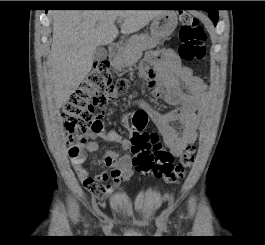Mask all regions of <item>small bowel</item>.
I'll return each instance as SVG.
<instances>
[{"mask_svg":"<svg viewBox=\"0 0 265 245\" xmlns=\"http://www.w3.org/2000/svg\"><path fill=\"white\" fill-rule=\"evenodd\" d=\"M141 66L152 69L155 73V79L148 83L151 94L168 105L176 106L170 113L163 114L149 104L140 103L151 123L163 136L170 152L179 157L188 145L196 141L200 127L198 111L206 102L207 85L194 75L190 67L182 63L173 49L148 51ZM122 123L132 133L129 115L123 116ZM94 135L121 143L126 150L131 149V139H123L120 134L106 131L104 127ZM82 147L84 153H91L97 150L98 144L88 138ZM93 165H103L111 170L92 176L82 164H76L75 172L82 186L95 197L109 195L133 174L130 154H120L113 149L108 150L102 160L94 162ZM108 181H111L110 185L100 186Z\"/></svg>","mask_w":265,"mask_h":245,"instance_id":"1","label":"small bowel"}]
</instances>
